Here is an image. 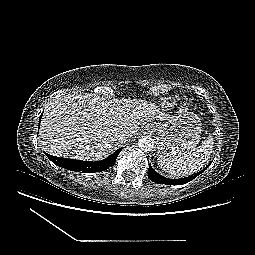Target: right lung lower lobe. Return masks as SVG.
<instances>
[{
	"label": "right lung lower lobe",
	"instance_id": "obj_1",
	"mask_svg": "<svg viewBox=\"0 0 255 255\" xmlns=\"http://www.w3.org/2000/svg\"><path fill=\"white\" fill-rule=\"evenodd\" d=\"M42 116V115H41ZM41 116L39 118V122L41 121ZM122 148H119L116 152L112 155L103 159L101 161H81V160H74V159H67L52 156L46 153V156L57 166L75 171V172H82V173H95V172H102L107 170L108 168L112 167L115 164L117 156L121 152Z\"/></svg>",
	"mask_w": 255,
	"mask_h": 255
}]
</instances>
